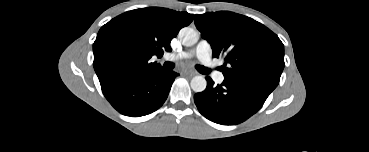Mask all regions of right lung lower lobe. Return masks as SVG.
<instances>
[{
	"label": "right lung lower lobe",
	"mask_w": 369,
	"mask_h": 152,
	"mask_svg": "<svg viewBox=\"0 0 369 152\" xmlns=\"http://www.w3.org/2000/svg\"><path fill=\"white\" fill-rule=\"evenodd\" d=\"M176 76L177 73L162 68L125 77L102 91L121 114L144 116L162 106Z\"/></svg>",
	"instance_id": "obj_1"
}]
</instances>
